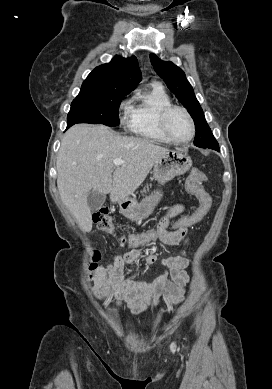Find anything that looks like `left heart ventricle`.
Masks as SVG:
<instances>
[{"label":"left heart ventricle","mask_w":272,"mask_h":389,"mask_svg":"<svg viewBox=\"0 0 272 389\" xmlns=\"http://www.w3.org/2000/svg\"><path fill=\"white\" fill-rule=\"evenodd\" d=\"M168 127L171 134L179 140H185L191 135L190 123L185 114L179 110H175L170 114Z\"/></svg>","instance_id":"1"}]
</instances>
